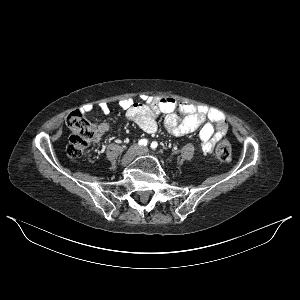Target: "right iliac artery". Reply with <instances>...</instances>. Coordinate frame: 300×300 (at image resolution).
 <instances>
[{"label": "right iliac artery", "instance_id": "1", "mask_svg": "<svg viewBox=\"0 0 300 300\" xmlns=\"http://www.w3.org/2000/svg\"><path fill=\"white\" fill-rule=\"evenodd\" d=\"M148 144V140L147 139H141L138 142L139 146H146Z\"/></svg>", "mask_w": 300, "mask_h": 300}]
</instances>
